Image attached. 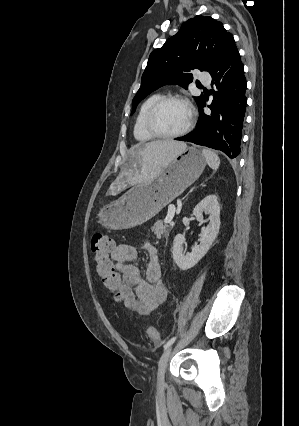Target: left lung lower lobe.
<instances>
[{
	"label": "left lung lower lobe",
	"mask_w": 299,
	"mask_h": 426,
	"mask_svg": "<svg viewBox=\"0 0 299 426\" xmlns=\"http://www.w3.org/2000/svg\"><path fill=\"white\" fill-rule=\"evenodd\" d=\"M210 74L214 85L211 114L203 112L207 100L203 97L197 128L176 140L220 150L234 159L240 153L247 86L238 50L231 52Z\"/></svg>",
	"instance_id": "1"
}]
</instances>
